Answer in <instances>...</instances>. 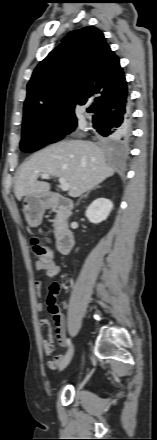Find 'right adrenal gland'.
<instances>
[{"mask_svg":"<svg viewBox=\"0 0 157 440\" xmlns=\"http://www.w3.org/2000/svg\"><path fill=\"white\" fill-rule=\"evenodd\" d=\"M99 187H100V186H96L95 188H93V189L87 191V193L84 194V195L78 200L77 205H79V202H80V200H81L83 197H87L88 194H89L92 190H95V189H97V188H99Z\"/></svg>","mask_w":157,"mask_h":440,"instance_id":"obj_1","label":"right adrenal gland"}]
</instances>
